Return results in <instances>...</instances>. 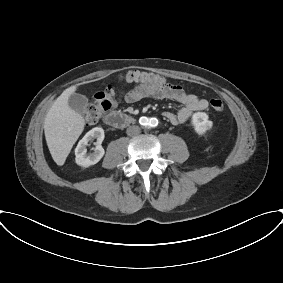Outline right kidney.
Masks as SVG:
<instances>
[{"mask_svg":"<svg viewBox=\"0 0 283 283\" xmlns=\"http://www.w3.org/2000/svg\"><path fill=\"white\" fill-rule=\"evenodd\" d=\"M104 130L101 127H95L85 134V136L79 141L77 147L75 148L76 163L82 167H89L98 163L104 156V149L101 146L104 140ZM97 139L96 147L94 152L87 155V145L88 142Z\"/></svg>","mask_w":283,"mask_h":283,"instance_id":"ca27d5eb","label":"right kidney"}]
</instances>
